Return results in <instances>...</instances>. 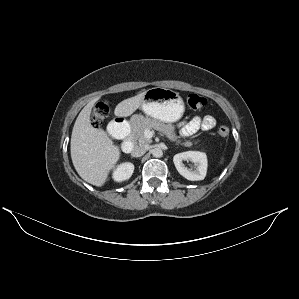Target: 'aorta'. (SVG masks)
I'll return each mask as SVG.
<instances>
[{
    "instance_id": "762f6f07",
    "label": "aorta",
    "mask_w": 299,
    "mask_h": 299,
    "mask_svg": "<svg viewBox=\"0 0 299 299\" xmlns=\"http://www.w3.org/2000/svg\"><path fill=\"white\" fill-rule=\"evenodd\" d=\"M152 155L156 158H159L163 155V152H162L161 148L157 147L152 150Z\"/></svg>"
}]
</instances>
